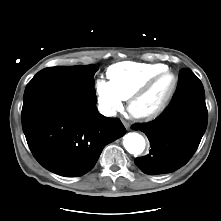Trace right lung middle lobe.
<instances>
[{
  "instance_id": "right-lung-middle-lobe-1",
  "label": "right lung middle lobe",
  "mask_w": 221,
  "mask_h": 221,
  "mask_svg": "<svg viewBox=\"0 0 221 221\" xmlns=\"http://www.w3.org/2000/svg\"><path fill=\"white\" fill-rule=\"evenodd\" d=\"M96 65L56 66L39 71L26 87L49 85L76 92L95 93Z\"/></svg>"
}]
</instances>
